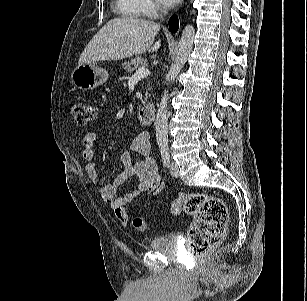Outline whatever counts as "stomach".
Segmentation results:
<instances>
[{"label": "stomach", "instance_id": "1", "mask_svg": "<svg viewBox=\"0 0 307 301\" xmlns=\"http://www.w3.org/2000/svg\"><path fill=\"white\" fill-rule=\"evenodd\" d=\"M109 74L94 62L78 65L71 74L73 85L83 91L93 90L105 83Z\"/></svg>", "mask_w": 307, "mask_h": 301}]
</instances>
